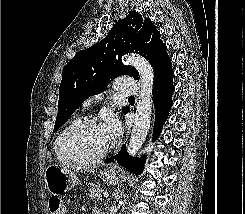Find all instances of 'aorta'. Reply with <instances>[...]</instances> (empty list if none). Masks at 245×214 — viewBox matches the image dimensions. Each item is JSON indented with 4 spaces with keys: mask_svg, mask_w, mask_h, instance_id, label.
<instances>
[{
    "mask_svg": "<svg viewBox=\"0 0 245 214\" xmlns=\"http://www.w3.org/2000/svg\"><path fill=\"white\" fill-rule=\"evenodd\" d=\"M122 61L124 64L134 66L140 76L139 97L134 125L128 144V152L133 156L144 144L150 129L154 72L147 60L137 54L126 55L123 57Z\"/></svg>",
    "mask_w": 245,
    "mask_h": 214,
    "instance_id": "aorta-1",
    "label": "aorta"
}]
</instances>
